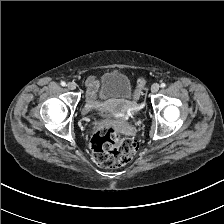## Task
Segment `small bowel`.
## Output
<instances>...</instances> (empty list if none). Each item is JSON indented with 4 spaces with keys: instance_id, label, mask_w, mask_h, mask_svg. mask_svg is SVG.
Masks as SVG:
<instances>
[{
    "instance_id": "c3829d8e",
    "label": "small bowel",
    "mask_w": 224,
    "mask_h": 224,
    "mask_svg": "<svg viewBox=\"0 0 224 224\" xmlns=\"http://www.w3.org/2000/svg\"><path fill=\"white\" fill-rule=\"evenodd\" d=\"M99 89V82L95 77H91L87 82V100L92 105Z\"/></svg>"
}]
</instances>
